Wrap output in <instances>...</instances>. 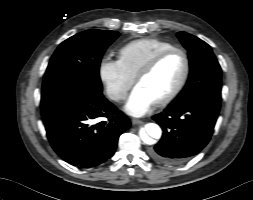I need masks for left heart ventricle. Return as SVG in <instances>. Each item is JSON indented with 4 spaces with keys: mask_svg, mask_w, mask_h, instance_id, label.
I'll use <instances>...</instances> for the list:
<instances>
[{
    "mask_svg": "<svg viewBox=\"0 0 253 200\" xmlns=\"http://www.w3.org/2000/svg\"><path fill=\"white\" fill-rule=\"evenodd\" d=\"M183 70V57L175 53L164 59L151 74L142 78L137 85L142 87L157 102L175 88Z\"/></svg>",
    "mask_w": 253,
    "mask_h": 200,
    "instance_id": "1",
    "label": "left heart ventricle"
}]
</instances>
